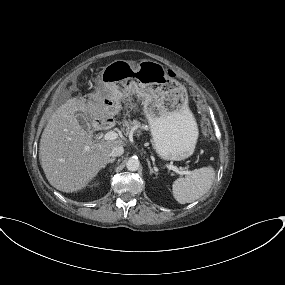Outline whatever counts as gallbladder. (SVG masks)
<instances>
[{
    "label": "gallbladder",
    "mask_w": 285,
    "mask_h": 285,
    "mask_svg": "<svg viewBox=\"0 0 285 285\" xmlns=\"http://www.w3.org/2000/svg\"><path fill=\"white\" fill-rule=\"evenodd\" d=\"M76 116H77V120H78L79 124H80L83 128L87 129V130L89 131V133L91 134L92 131L90 130V124H89V122H88L86 116H85L84 114H82L81 112H79L78 114H76Z\"/></svg>",
    "instance_id": "bac80fb5"
}]
</instances>
